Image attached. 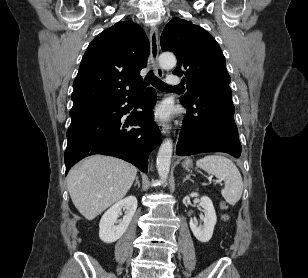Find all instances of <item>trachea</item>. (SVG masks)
Listing matches in <instances>:
<instances>
[{"mask_svg":"<svg viewBox=\"0 0 308 278\" xmlns=\"http://www.w3.org/2000/svg\"><path fill=\"white\" fill-rule=\"evenodd\" d=\"M152 84L154 87H156L159 90L166 91V90H176L179 89V86H169L166 83H164L162 80L157 78L153 71H150L147 76L145 77V85Z\"/></svg>","mask_w":308,"mask_h":278,"instance_id":"1","label":"trachea"}]
</instances>
